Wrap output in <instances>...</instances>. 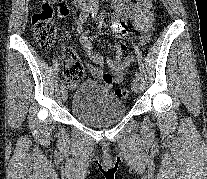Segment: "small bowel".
<instances>
[{
  "mask_svg": "<svg viewBox=\"0 0 207 179\" xmlns=\"http://www.w3.org/2000/svg\"><path fill=\"white\" fill-rule=\"evenodd\" d=\"M55 2L57 3L58 14L60 17H65L70 13L69 8L63 1L55 0ZM113 6L119 17V20L114 23V26L118 29L124 28V20L126 17H130L133 26L141 34V43L146 42L149 37L153 19L151 1L145 0L137 6H133L129 0H113ZM80 42L92 61V63H88L87 65L95 79H101L107 89H111L114 84L123 81V75L129 69L134 58L130 55H124L121 42L115 44L116 58H109L107 60L110 73L103 72L104 59L93 49L92 39L89 32L85 31L80 35ZM106 78L108 79L106 80ZM70 87H73V85L70 84Z\"/></svg>",
  "mask_w": 207,
  "mask_h": 179,
  "instance_id": "obj_1",
  "label": "small bowel"
}]
</instances>
